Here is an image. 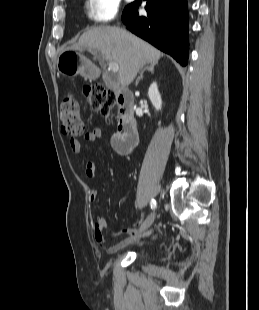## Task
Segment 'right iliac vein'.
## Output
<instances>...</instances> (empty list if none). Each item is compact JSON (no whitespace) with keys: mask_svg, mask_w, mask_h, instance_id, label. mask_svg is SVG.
<instances>
[{"mask_svg":"<svg viewBox=\"0 0 259 310\" xmlns=\"http://www.w3.org/2000/svg\"><path fill=\"white\" fill-rule=\"evenodd\" d=\"M155 220V212H152L140 227V231L147 230Z\"/></svg>","mask_w":259,"mask_h":310,"instance_id":"right-iliac-vein-1","label":"right iliac vein"}]
</instances>
